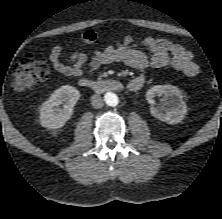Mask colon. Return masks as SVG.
Wrapping results in <instances>:
<instances>
[{
  "mask_svg": "<svg viewBox=\"0 0 222 219\" xmlns=\"http://www.w3.org/2000/svg\"><path fill=\"white\" fill-rule=\"evenodd\" d=\"M50 76V67L45 59L25 54L15 64L12 74V88L21 92L45 82ZM212 86L217 82L213 78Z\"/></svg>",
  "mask_w": 222,
  "mask_h": 219,
  "instance_id": "5ec220e1",
  "label": "colon"
}]
</instances>
